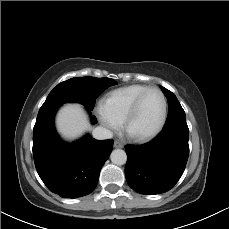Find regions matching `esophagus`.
<instances>
[{
    "mask_svg": "<svg viewBox=\"0 0 229 229\" xmlns=\"http://www.w3.org/2000/svg\"><path fill=\"white\" fill-rule=\"evenodd\" d=\"M114 147H115V148H122V147H123V144L120 143L119 141H115V142H114Z\"/></svg>",
    "mask_w": 229,
    "mask_h": 229,
    "instance_id": "esophagus-1",
    "label": "esophagus"
}]
</instances>
